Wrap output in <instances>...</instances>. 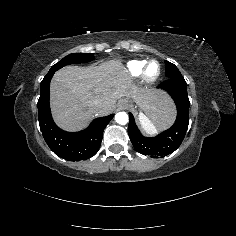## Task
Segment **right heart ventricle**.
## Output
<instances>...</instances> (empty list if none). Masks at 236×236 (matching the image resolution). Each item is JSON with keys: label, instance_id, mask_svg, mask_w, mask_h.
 I'll list each match as a JSON object with an SVG mask.
<instances>
[{"label": "right heart ventricle", "instance_id": "obj_1", "mask_svg": "<svg viewBox=\"0 0 236 236\" xmlns=\"http://www.w3.org/2000/svg\"><path fill=\"white\" fill-rule=\"evenodd\" d=\"M146 60L129 61L124 68V74L130 78H137L142 74V70L146 64Z\"/></svg>", "mask_w": 236, "mask_h": 236}]
</instances>
